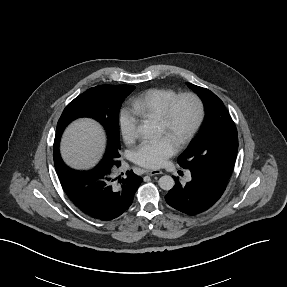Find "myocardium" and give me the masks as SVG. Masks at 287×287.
<instances>
[{"label": "myocardium", "mask_w": 287, "mask_h": 287, "mask_svg": "<svg viewBox=\"0 0 287 287\" xmlns=\"http://www.w3.org/2000/svg\"><path fill=\"white\" fill-rule=\"evenodd\" d=\"M182 100H188L192 103L195 114L191 125L177 142V146L179 148H183L191 142V140L194 138L197 131L199 130L204 119V105L197 94L193 92H184L177 94L168 102L163 114L158 119V123L163 128L164 134L166 136L170 134V131L173 126L175 108L177 104Z\"/></svg>", "instance_id": "obj_1"}]
</instances>
